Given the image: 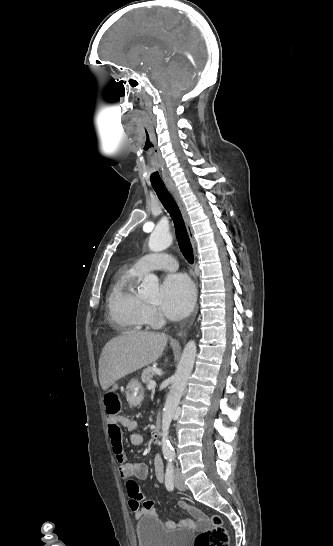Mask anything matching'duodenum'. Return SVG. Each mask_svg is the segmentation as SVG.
<instances>
[{
    "instance_id": "duodenum-1",
    "label": "duodenum",
    "mask_w": 333,
    "mask_h": 546,
    "mask_svg": "<svg viewBox=\"0 0 333 546\" xmlns=\"http://www.w3.org/2000/svg\"><path fill=\"white\" fill-rule=\"evenodd\" d=\"M151 438L154 442H158L159 441V438H160V424L159 422H157L153 429H152V433H151Z\"/></svg>"
}]
</instances>
